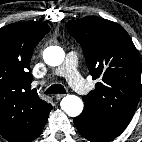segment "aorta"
<instances>
[{
	"instance_id": "762f6f07",
	"label": "aorta",
	"mask_w": 142,
	"mask_h": 142,
	"mask_svg": "<svg viewBox=\"0 0 142 142\" xmlns=\"http://www.w3.org/2000/svg\"><path fill=\"white\" fill-rule=\"evenodd\" d=\"M65 53L63 49L56 45L47 47L43 52V59L50 66H59L63 63ZM61 109L70 117H77L83 111V101L76 95L65 96L60 103Z\"/></svg>"
}]
</instances>
